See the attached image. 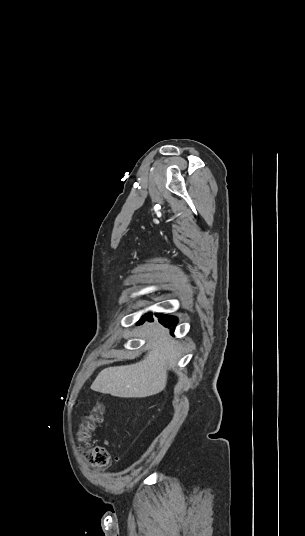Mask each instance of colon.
<instances>
[{"mask_svg":"<svg viewBox=\"0 0 305 536\" xmlns=\"http://www.w3.org/2000/svg\"><path fill=\"white\" fill-rule=\"evenodd\" d=\"M104 408L101 403H97L93 410L83 417L81 428L78 432V439L83 442L81 445L82 459L85 462H94L95 466H103L109 462V452L106 447L91 443H85L90 440L95 427L102 421Z\"/></svg>","mask_w":305,"mask_h":536,"instance_id":"5ec220e1","label":"colon"}]
</instances>
